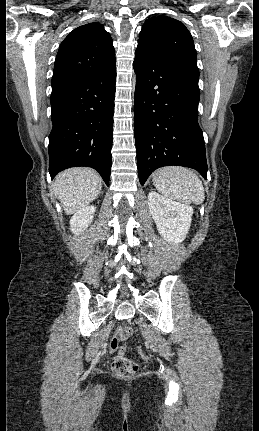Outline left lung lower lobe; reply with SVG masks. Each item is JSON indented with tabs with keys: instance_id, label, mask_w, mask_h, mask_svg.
Wrapping results in <instances>:
<instances>
[{
	"instance_id": "0a47b994",
	"label": "left lung lower lobe",
	"mask_w": 259,
	"mask_h": 431,
	"mask_svg": "<svg viewBox=\"0 0 259 431\" xmlns=\"http://www.w3.org/2000/svg\"><path fill=\"white\" fill-rule=\"evenodd\" d=\"M134 132L140 184L157 168L179 165L205 179L207 162L198 124L199 75L137 47Z\"/></svg>"
}]
</instances>
